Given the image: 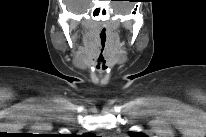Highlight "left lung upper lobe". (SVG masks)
<instances>
[{"instance_id": "1", "label": "left lung upper lobe", "mask_w": 206, "mask_h": 137, "mask_svg": "<svg viewBox=\"0 0 206 137\" xmlns=\"http://www.w3.org/2000/svg\"><path fill=\"white\" fill-rule=\"evenodd\" d=\"M129 135L131 137H146L144 134L139 133V132H129Z\"/></svg>"}]
</instances>
